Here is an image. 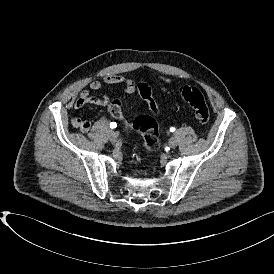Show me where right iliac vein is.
Here are the masks:
<instances>
[{
  "label": "right iliac vein",
  "mask_w": 274,
  "mask_h": 274,
  "mask_svg": "<svg viewBox=\"0 0 274 274\" xmlns=\"http://www.w3.org/2000/svg\"><path fill=\"white\" fill-rule=\"evenodd\" d=\"M109 139L113 143L116 142L117 141V134L115 132L111 131L110 134H109Z\"/></svg>",
  "instance_id": "63e3f726"
}]
</instances>
